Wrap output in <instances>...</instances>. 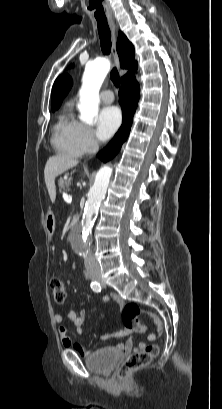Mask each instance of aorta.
<instances>
[{
	"mask_svg": "<svg viewBox=\"0 0 222 409\" xmlns=\"http://www.w3.org/2000/svg\"><path fill=\"white\" fill-rule=\"evenodd\" d=\"M109 69L110 62L105 58L97 59L86 65L78 108L80 120L87 124H93V120L98 114L99 90ZM111 175V167L103 166L100 168L88 193L81 225L75 235V242L80 248H84L88 243L96 213L105 197Z\"/></svg>",
	"mask_w": 222,
	"mask_h": 409,
	"instance_id": "obj_1",
	"label": "aorta"
}]
</instances>
